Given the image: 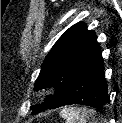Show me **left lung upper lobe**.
Listing matches in <instances>:
<instances>
[{
    "mask_svg": "<svg viewBox=\"0 0 122 123\" xmlns=\"http://www.w3.org/2000/svg\"><path fill=\"white\" fill-rule=\"evenodd\" d=\"M100 45L93 31L84 23L71 26L58 39L46 56L34 90L55 87L56 94L42 104L32 107V114L50 108L67 90L77 73L99 52Z\"/></svg>",
    "mask_w": 122,
    "mask_h": 123,
    "instance_id": "1",
    "label": "left lung upper lobe"
}]
</instances>
